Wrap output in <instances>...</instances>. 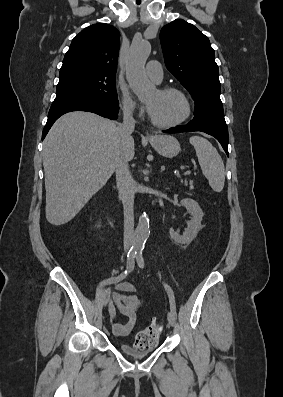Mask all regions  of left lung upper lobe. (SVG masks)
Listing matches in <instances>:
<instances>
[{
	"mask_svg": "<svg viewBox=\"0 0 283 397\" xmlns=\"http://www.w3.org/2000/svg\"><path fill=\"white\" fill-rule=\"evenodd\" d=\"M160 41L167 69L195 101L194 116L224 118L218 65L208 37L194 25L175 20L161 29Z\"/></svg>",
	"mask_w": 283,
	"mask_h": 397,
	"instance_id": "1",
	"label": "left lung upper lobe"
}]
</instances>
